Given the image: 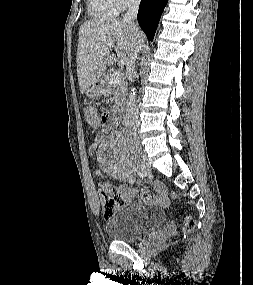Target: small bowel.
I'll use <instances>...</instances> for the list:
<instances>
[{
  "label": "small bowel",
  "instance_id": "small-bowel-1",
  "mask_svg": "<svg viewBox=\"0 0 253 285\" xmlns=\"http://www.w3.org/2000/svg\"><path fill=\"white\" fill-rule=\"evenodd\" d=\"M99 126H110V109H101L100 117H99ZM99 126H94L93 128L97 129ZM106 132L101 130L98 134L95 142L91 145L90 150L94 151L97 148L98 142L105 136ZM127 177V174H126ZM135 180V179H134ZM105 187L115 188L120 191L124 196L128 199L134 198L138 194V190L131 188L130 186L120 185L115 187L111 184H106ZM154 187L156 193L154 195L147 194L146 190H143L147 195L141 197V201L144 203H150L158 206H167L169 203L168 194L166 187L159 181L154 182Z\"/></svg>",
  "mask_w": 253,
  "mask_h": 285
}]
</instances>
